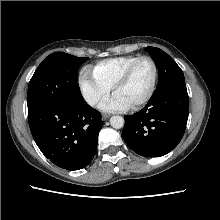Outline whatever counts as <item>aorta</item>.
<instances>
[{"label":"aorta","instance_id":"1","mask_svg":"<svg viewBox=\"0 0 220 220\" xmlns=\"http://www.w3.org/2000/svg\"><path fill=\"white\" fill-rule=\"evenodd\" d=\"M110 124L115 129H121L124 126V118L122 116H112Z\"/></svg>","mask_w":220,"mask_h":220}]
</instances>
